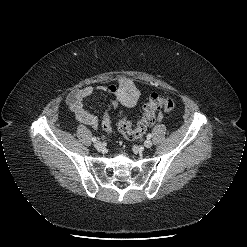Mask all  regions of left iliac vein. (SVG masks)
<instances>
[{
  "label": "left iliac vein",
  "mask_w": 247,
  "mask_h": 247,
  "mask_svg": "<svg viewBox=\"0 0 247 247\" xmlns=\"http://www.w3.org/2000/svg\"><path fill=\"white\" fill-rule=\"evenodd\" d=\"M152 141L151 140H149V139H147L145 142H144V146L146 147V148H150L151 146H152Z\"/></svg>",
  "instance_id": "1"
}]
</instances>
